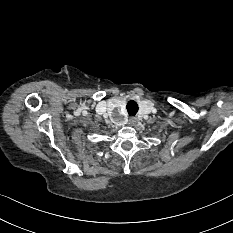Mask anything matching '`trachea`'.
I'll list each match as a JSON object with an SVG mask.
<instances>
[{
  "label": "trachea",
  "instance_id": "obj_1",
  "mask_svg": "<svg viewBox=\"0 0 233 233\" xmlns=\"http://www.w3.org/2000/svg\"><path fill=\"white\" fill-rule=\"evenodd\" d=\"M127 110L130 115H135L138 111V105L134 101H131L127 105Z\"/></svg>",
  "mask_w": 233,
  "mask_h": 233
}]
</instances>
